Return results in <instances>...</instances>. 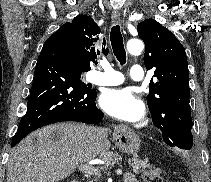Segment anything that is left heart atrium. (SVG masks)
<instances>
[{"instance_id": "obj_1", "label": "left heart atrium", "mask_w": 211, "mask_h": 182, "mask_svg": "<svg viewBox=\"0 0 211 182\" xmlns=\"http://www.w3.org/2000/svg\"><path fill=\"white\" fill-rule=\"evenodd\" d=\"M100 105L110 116L127 122L140 120L144 113L143 103L126 88L105 90Z\"/></svg>"}]
</instances>
